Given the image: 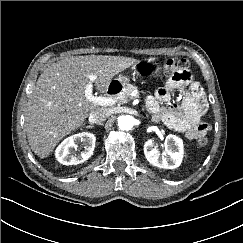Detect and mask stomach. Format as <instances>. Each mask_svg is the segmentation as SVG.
Instances as JSON below:
<instances>
[{"mask_svg":"<svg viewBox=\"0 0 243 243\" xmlns=\"http://www.w3.org/2000/svg\"><path fill=\"white\" fill-rule=\"evenodd\" d=\"M153 62H154V59H148L143 62L137 61V62H134V64L132 65V69L137 74H147L151 70ZM117 81L120 85L125 86L127 83H129V78L127 76L120 75L117 78Z\"/></svg>","mask_w":243,"mask_h":243,"instance_id":"0dacf381","label":"stomach"}]
</instances>
